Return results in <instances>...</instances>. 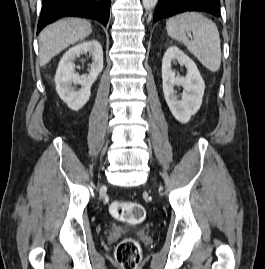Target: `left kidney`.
<instances>
[{
    "label": "left kidney",
    "instance_id": "obj_1",
    "mask_svg": "<svg viewBox=\"0 0 265 269\" xmlns=\"http://www.w3.org/2000/svg\"><path fill=\"white\" fill-rule=\"evenodd\" d=\"M176 61L186 67L185 77H177L172 70V64ZM162 80L164 97L171 113L180 123H187L199 110L205 90V83L196 64L179 48L170 46L162 60ZM175 86L184 88L181 99L174 90Z\"/></svg>",
    "mask_w": 265,
    "mask_h": 269
}]
</instances>
